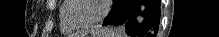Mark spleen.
<instances>
[{
    "mask_svg": "<svg viewBox=\"0 0 219 37\" xmlns=\"http://www.w3.org/2000/svg\"><path fill=\"white\" fill-rule=\"evenodd\" d=\"M110 37H127L124 29L122 27L110 29L109 31Z\"/></svg>",
    "mask_w": 219,
    "mask_h": 37,
    "instance_id": "1",
    "label": "spleen"
}]
</instances>
